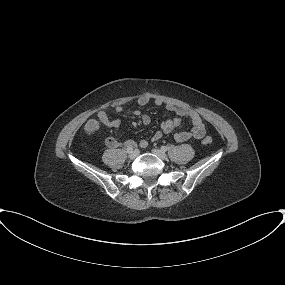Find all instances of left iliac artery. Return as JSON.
<instances>
[{
    "label": "left iliac artery",
    "instance_id": "obj_1",
    "mask_svg": "<svg viewBox=\"0 0 285 285\" xmlns=\"http://www.w3.org/2000/svg\"><path fill=\"white\" fill-rule=\"evenodd\" d=\"M161 150L164 151V152H166V151H167V147H166V146H162V147H161Z\"/></svg>",
    "mask_w": 285,
    "mask_h": 285
}]
</instances>
